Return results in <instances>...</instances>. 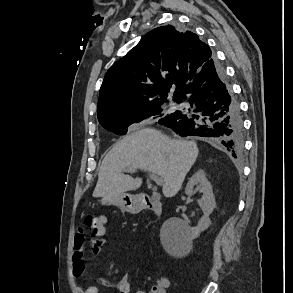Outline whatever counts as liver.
Masks as SVG:
<instances>
[{
    "instance_id": "obj_1",
    "label": "liver",
    "mask_w": 293,
    "mask_h": 293,
    "mask_svg": "<svg viewBox=\"0 0 293 293\" xmlns=\"http://www.w3.org/2000/svg\"><path fill=\"white\" fill-rule=\"evenodd\" d=\"M199 154L194 141L174 140L160 131L144 128L118 141L102 161L93 197H111L134 191L141 178L124 175V169H140L163 179L162 192L175 196Z\"/></svg>"
}]
</instances>
